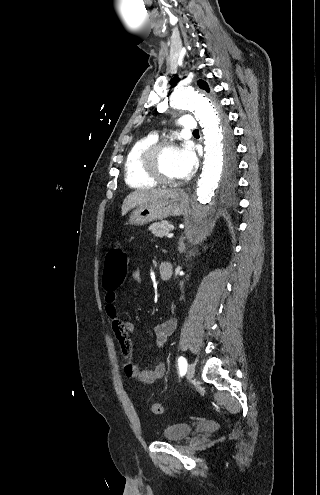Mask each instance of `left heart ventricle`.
I'll return each mask as SVG.
<instances>
[{"label": "left heart ventricle", "instance_id": "b2bd125f", "mask_svg": "<svg viewBox=\"0 0 320 495\" xmlns=\"http://www.w3.org/2000/svg\"><path fill=\"white\" fill-rule=\"evenodd\" d=\"M180 148H166L159 157V168L161 173L171 179L180 178L178 154Z\"/></svg>", "mask_w": 320, "mask_h": 495}]
</instances>
